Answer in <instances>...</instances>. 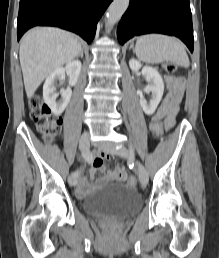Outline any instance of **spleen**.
<instances>
[{
	"label": "spleen",
	"mask_w": 219,
	"mask_h": 258,
	"mask_svg": "<svg viewBox=\"0 0 219 258\" xmlns=\"http://www.w3.org/2000/svg\"><path fill=\"white\" fill-rule=\"evenodd\" d=\"M135 53L139 60L146 63L171 61L183 67H189V58L183 43L161 34L143 35L137 39Z\"/></svg>",
	"instance_id": "spleen-1"
}]
</instances>
